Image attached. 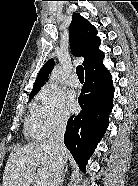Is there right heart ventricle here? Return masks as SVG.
Returning <instances> with one entry per match:
<instances>
[{
	"instance_id": "e07e8e85",
	"label": "right heart ventricle",
	"mask_w": 138,
	"mask_h": 186,
	"mask_svg": "<svg viewBox=\"0 0 138 186\" xmlns=\"http://www.w3.org/2000/svg\"><path fill=\"white\" fill-rule=\"evenodd\" d=\"M25 133L33 139H42L47 136L39 121V104L36 102L32 103L30 113L26 119Z\"/></svg>"
}]
</instances>
